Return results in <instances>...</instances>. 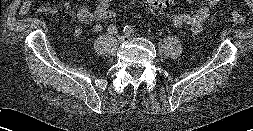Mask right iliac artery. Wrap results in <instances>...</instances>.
<instances>
[{"mask_svg": "<svg viewBox=\"0 0 253 131\" xmlns=\"http://www.w3.org/2000/svg\"><path fill=\"white\" fill-rule=\"evenodd\" d=\"M110 34H117L118 33V29L114 24H111L108 26V30H107Z\"/></svg>", "mask_w": 253, "mask_h": 131, "instance_id": "obj_1", "label": "right iliac artery"}]
</instances>
